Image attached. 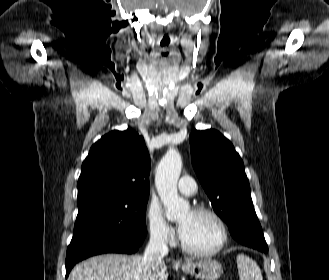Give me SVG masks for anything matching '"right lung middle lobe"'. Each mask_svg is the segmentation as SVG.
<instances>
[{"label":"right lung middle lobe","instance_id":"obj_1","mask_svg":"<svg viewBox=\"0 0 329 280\" xmlns=\"http://www.w3.org/2000/svg\"><path fill=\"white\" fill-rule=\"evenodd\" d=\"M148 197L78 199L79 212L67 251L96 237L142 243L147 233L145 213Z\"/></svg>","mask_w":329,"mask_h":280}]
</instances>
